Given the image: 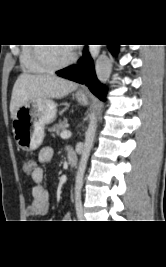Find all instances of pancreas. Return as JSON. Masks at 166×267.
Wrapping results in <instances>:
<instances>
[{"label": "pancreas", "mask_w": 166, "mask_h": 267, "mask_svg": "<svg viewBox=\"0 0 166 267\" xmlns=\"http://www.w3.org/2000/svg\"><path fill=\"white\" fill-rule=\"evenodd\" d=\"M66 127H67V120H64L63 122H59L58 124L54 125L52 128L49 129V131L59 135V132L61 130H65Z\"/></svg>", "instance_id": "obj_1"}]
</instances>
